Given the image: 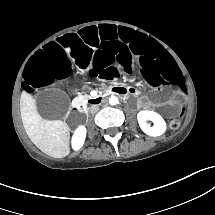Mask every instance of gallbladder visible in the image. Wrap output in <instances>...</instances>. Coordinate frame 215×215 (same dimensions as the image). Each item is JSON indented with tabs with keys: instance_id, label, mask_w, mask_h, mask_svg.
Listing matches in <instances>:
<instances>
[{
	"instance_id": "obj_1",
	"label": "gallbladder",
	"mask_w": 215,
	"mask_h": 215,
	"mask_svg": "<svg viewBox=\"0 0 215 215\" xmlns=\"http://www.w3.org/2000/svg\"><path fill=\"white\" fill-rule=\"evenodd\" d=\"M36 106L42 117L59 120L64 117L69 108V100L61 91H45L39 95Z\"/></svg>"
}]
</instances>
